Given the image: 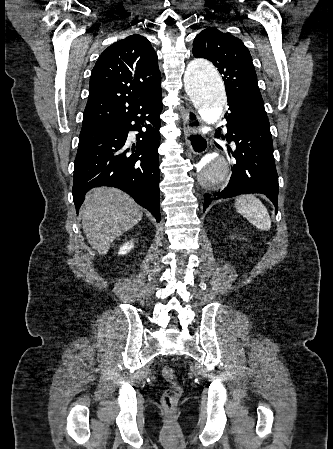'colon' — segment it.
<instances>
[{"mask_svg": "<svg viewBox=\"0 0 333 449\" xmlns=\"http://www.w3.org/2000/svg\"><path fill=\"white\" fill-rule=\"evenodd\" d=\"M163 378L171 383V386L165 391L162 396V403L168 409H173L182 393V388L177 382V376L173 368L166 366L162 371Z\"/></svg>", "mask_w": 333, "mask_h": 449, "instance_id": "obj_1", "label": "colon"}]
</instances>
